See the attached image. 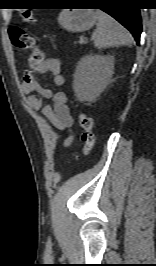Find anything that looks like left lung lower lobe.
Here are the masks:
<instances>
[{
    "mask_svg": "<svg viewBox=\"0 0 156 266\" xmlns=\"http://www.w3.org/2000/svg\"><path fill=\"white\" fill-rule=\"evenodd\" d=\"M120 2L121 1H119V0H104L102 2H95V0L93 2V0H92L91 2L82 3L80 0L79 4L104 6L101 9L104 12L111 15L112 17H114L124 27H126L132 33L137 44H139L140 34L142 32L140 10L137 7H133L131 1H129V0L126 2L124 1L125 3L123 5ZM72 3H75V2H72Z\"/></svg>",
    "mask_w": 156,
    "mask_h": 266,
    "instance_id": "1",
    "label": "left lung lower lobe"
}]
</instances>
